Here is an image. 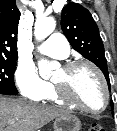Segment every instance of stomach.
Segmentation results:
<instances>
[{"label": "stomach", "instance_id": "stomach-1", "mask_svg": "<svg viewBox=\"0 0 117 131\" xmlns=\"http://www.w3.org/2000/svg\"><path fill=\"white\" fill-rule=\"evenodd\" d=\"M81 121L72 114H64L54 121V131H80Z\"/></svg>", "mask_w": 117, "mask_h": 131}]
</instances>
